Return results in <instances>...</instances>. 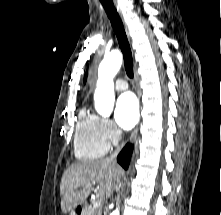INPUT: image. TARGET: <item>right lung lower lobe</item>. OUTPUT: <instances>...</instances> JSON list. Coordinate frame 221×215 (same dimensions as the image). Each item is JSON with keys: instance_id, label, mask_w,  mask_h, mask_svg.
Returning a JSON list of instances; mask_svg holds the SVG:
<instances>
[{"instance_id": "98d812e1", "label": "right lung lower lobe", "mask_w": 221, "mask_h": 215, "mask_svg": "<svg viewBox=\"0 0 221 215\" xmlns=\"http://www.w3.org/2000/svg\"><path fill=\"white\" fill-rule=\"evenodd\" d=\"M132 150H133V145L127 144L126 147L121 151V153L117 157L118 163L124 169L128 168L130 158H131V154H132Z\"/></svg>"}]
</instances>
